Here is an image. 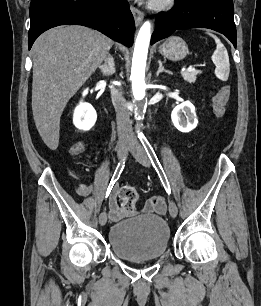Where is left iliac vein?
Returning a JSON list of instances; mask_svg holds the SVG:
<instances>
[{"instance_id": "obj_1", "label": "left iliac vein", "mask_w": 261, "mask_h": 306, "mask_svg": "<svg viewBox=\"0 0 261 306\" xmlns=\"http://www.w3.org/2000/svg\"><path fill=\"white\" fill-rule=\"evenodd\" d=\"M128 150L133 154L136 160L145 167L151 166V161L143 148L140 146L136 138H132L129 141ZM169 213L175 218L178 214V208L174 201L169 202Z\"/></svg>"}]
</instances>
